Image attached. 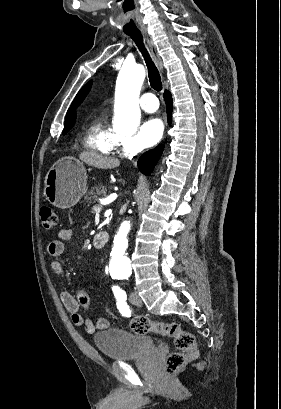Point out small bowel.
<instances>
[{
	"instance_id": "1",
	"label": "small bowel",
	"mask_w": 281,
	"mask_h": 409,
	"mask_svg": "<svg viewBox=\"0 0 281 409\" xmlns=\"http://www.w3.org/2000/svg\"><path fill=\"white\" fill-rule=\"evenodd\" d=\"M72 238V230L69 228H63L58 232L57 238L52 240L48 245V252L52 256H60L65 251V243ZM51 269L58 276L64 274V268L59 260H53L51 262ZM61 300L66 310L70 313L71 322L78 327L83 328L86 333H93L97 330H105L109 328V321L106 318H99L96 321H92L86 318L81 312L80 308L83 307L87 310L91 307V301L86 293H81L78 297H75L72 293L64 290L61 293Z\"/></svg>"
}]
</instances>
